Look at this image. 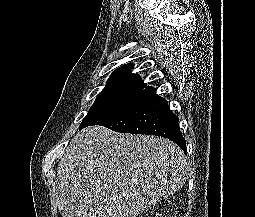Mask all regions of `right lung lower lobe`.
<instances>
[{"label":"right lung lower lobe","mask_w":255,"mask_h":217,"mask_svg":"<svg viewBox=\"0 0 255 217\" xmlns=\"http://www.w3.org/2000/svg\"><path fill=\"white\" fill-rule=\"evenodd\" d=\"M178 121L166 99L157 95L153 87H146L136 98L84 127L102 125L121 133L161 136L172 140L186 152V140L180 132Z\"/></svg>","instance_id":"obj_1"}]
</instances>
